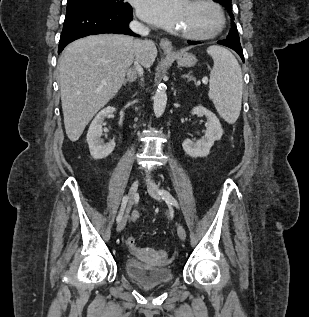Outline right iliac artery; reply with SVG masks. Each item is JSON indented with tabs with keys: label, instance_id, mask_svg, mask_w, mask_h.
Listing matches in <instances>:
<instances>
[{
	"label": "right iliac artery",
	"instance_id": "right-iliac-artery-1",
	"mask_svg": "<svg viewBox=\"0 0 309 317\" xmlns=\"http://www.w3.org/2000/svg\"><path fill=\"white\" fill-rule=\"evenodd\" d=\"M128 196H124L123 199H122V204H121V208H120V211L118 213V216H117V222H120L122 217H123V213H124V210H125V207L127 205V202H128Z\"/></svg>",
	"mask_w": 309,
	"mask_h": 317
}]
</instances>
